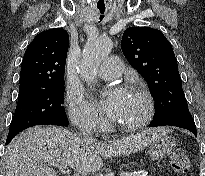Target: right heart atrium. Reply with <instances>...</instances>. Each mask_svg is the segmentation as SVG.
<instances>
[{
    "mask_svg": "<svg viewBox=\"0 0 205 176\" xmlns=\"http://www.w3.org/2000/svg\"><path fill=\"white\" fill-rule=\"evenodd\" d=\"M68 112L72 123L80 128L95 129L102 123L97 110L79 91H68Z\"/></svg>",
    "mask_w": 205,
    "mask_h": 176,
    "instance_id": "1",
    "label": "right heart atrium"
}]
</instances>
